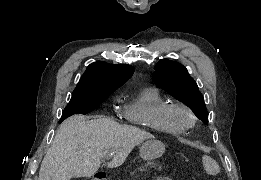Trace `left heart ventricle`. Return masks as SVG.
I'll return each instance as SVG.
<instances>
[{
	"label": "left heart ventricle",
	"instance_id": "left-heart-ventricle-1",
	"mask_svg": "<svg viewBox=\"0 0 261 180\" xmlns=\"http://www.w3.org/2000/svg\"><path fill=\"white\" fill-rule=\"evenodd\" d=\"M173 115H174L175 117H178V114H176V113H174Z\"/></svg>",
	"mask_w": 261,
	"mask_h": 180
}]
</instances>
